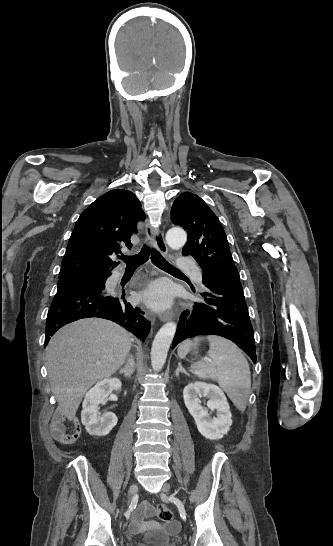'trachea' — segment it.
Masks as SVG:
<instances>
[{
    "label": "trachea",
    "mask_w": 333,
    "mask_h": 546,
    "mask_svg": "<svg viewBox=\"0 0 333 546\" xmlns=\"http://www.w3.org/2000/svg\"><path fill=\"white\" fill-rule=\"evenodd\" d=\"M149 255H151V261L152 263L160 268L161 270H164L166 272H174V273H180L182 272L172 266L169 262H167L163 256L155 249H150L149 247L144 246L141 251L133 256H121L120 259H122L126 265L127 268H137L143 263H145L149 259Z\"/></svg>",
    "instance_id": "3493384b"
}]
</instances>
